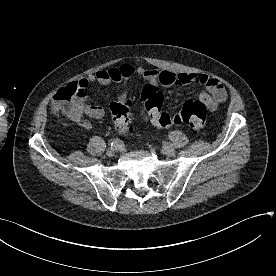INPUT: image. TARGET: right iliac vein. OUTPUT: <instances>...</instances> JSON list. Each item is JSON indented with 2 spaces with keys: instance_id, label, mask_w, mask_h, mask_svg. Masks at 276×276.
<instances>
[{
  "instance_id": "1",
  "label": "right iliac vein",
  "mask_w": 276,
  "mask_h": 276,
  "mask_svg": "<svg viewBox=\"0 0 276 276\" xmlns=\"http://www.w3.org/2000/svg\"><path fill=\"white\" fill-rule=\"evenodd\" d=\"M122 148L120 147H111L107 150V155L111 156L113 155L115 152L121 151Z\"/></svg>"
}]
</instances>
